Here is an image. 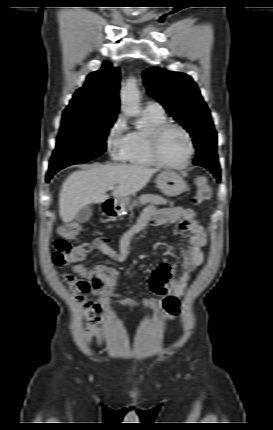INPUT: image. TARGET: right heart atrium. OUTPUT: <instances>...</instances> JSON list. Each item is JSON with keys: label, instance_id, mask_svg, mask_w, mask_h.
<instances>
[{"label": "right heart atrium", "instance_id": "1", "mask_svg": "<svg viewBox=\"0 0 273 430\" xmlns=\"http://www.w3.org/2000/svg\"><path fill=\"white\" fill-rule=\"evenodd\" d=\"M131 138L124 118L119 116L110 126L106 136V147L113 160L125 161L130 149Z\"/></svg>", "mask_w": 273, "mask_h": 430}]
</instances>
